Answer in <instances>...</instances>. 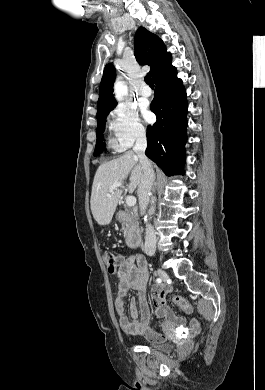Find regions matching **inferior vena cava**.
<instances>
[{"instance_id": "1", "label": "inferior vena cava", "mask_w": 265, "mask_h": 390, "mask_svg": "<svg viewBox=\"0 0 265 390\" xmlns=\"http://www.w3.org/2000/svg\"><path fill=\"white\" fill-rule=\"evenodd\" d=\"M147 147V139L144 133H141L137 139L135 146L133 148L134 152L137 154L140 164L143 169V177L138 188L139 196V207L141 214H144L146 208L150 202V192L154 181V171L152 165L148 158L145 155V150ZM156 233L151 224L146 226V235H145V244L144 252L147 255H154L156 250Z\"/></svg>"}]
</instances>
